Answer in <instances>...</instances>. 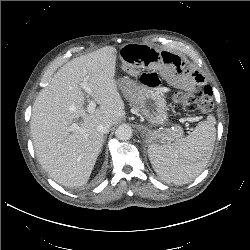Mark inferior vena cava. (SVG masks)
<instances>
[{"label":"inferior vena cava","mask_w":250,"mask_h":250,"mask_svg":"<svg viewBox=\"0 0 250 250\" xmlns=\"http://www.w3.org/2000/svg\"><path fill=\"white\" fill-rule=\"evenodd\" d=\"M110 127H111V124L107 121H104L98 125L97 129L101 133H108Z\"/></svg>","instance_id":"1"}]
</instances>
